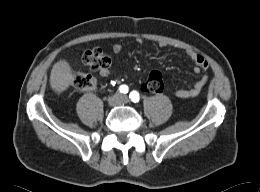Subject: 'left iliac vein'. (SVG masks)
<instances>
[{"label": "left iliac vein", "instance_id": "obj_1", "mask_svg": "<svg viewBox=\"0 0 260 192\" xmlns=\"http://www.w3.org/2000/svg\"><path fill=\"white\" fill-rule=\"evenodd\" d=\"M120 102L121 103H127L128 102V97L127 96H122Z\"/></svg>", "mask_w": 260, "mask_h": 192}]
</instances>
